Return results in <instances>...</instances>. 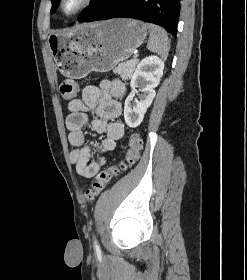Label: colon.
<instances>
[{"mask_svg": "<svg viewBox=\"0 0 247 280\" xmlns=\"http://www.w3.org/2000/svg\"><path fill=\"white\" fill-rule=\"evenodd\" d=\"M60 92L64 99H73L78 93L76 82L72 79L63 80L60 84ZM141 148V137L137 133H132L125 158L118 164L98 172L94 177L92 187L86 191V196L88 198H94L99 195L114 177L127 170L138 160Z\"/></svg>", "mask_w": 247, "mask_h": 280, "instance_id": "colon-1", "label": "colon"}]
</instances>
